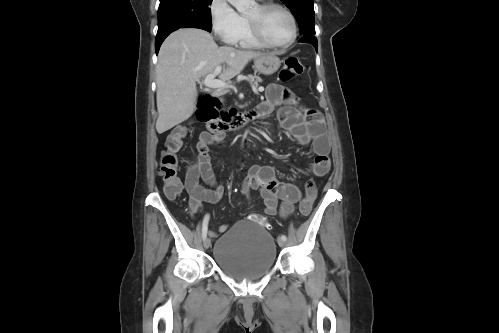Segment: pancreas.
<instances>
[{
	"instance_id": "1",
	"label": "pancreas",
	"mask_w": 499,
	"mask_h": 333,
	"mask_svg": "<svg viewBox=\"0 0 499 333\" xmlns=\"http://www.w3.org/2000/svg\"><path fill=\"white\" fill-rule=\"evenodd\" d=\"M248 78L253 82V86L255 88L259 87V83L262 82V79L259 76L256 75H248Z\"/></svg>"
}]
</instances>
